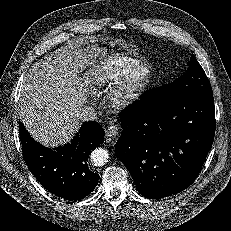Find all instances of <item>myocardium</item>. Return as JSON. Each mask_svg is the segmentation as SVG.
<instances>
[{
	"label": "myocardium",
	"instance_id": "obj_1",
	"mask_svg": "<svg viewBox=\"0 0 231 231\" xmlns=\"http://www.w3.org/2000/svg\"><path fill=\"white\" fill-rule=\"evenodd\" d=\"M153 79L151 66L141 62L122 78L109 94L114 108L122 109L137 101L149 88Z\"/></svg>",
	"mask_w": 231,
	"mask_h": 231
}]
</instances>
